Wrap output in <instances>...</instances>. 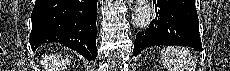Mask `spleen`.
<instances>
[{
  "label": "spleen",
  "instance_id": "3e777b00",
  "mask_svg": "<svg viewBox=\"0 0 230 71\" xmlns=\"http://www.w3.org/2000/svg\"><path fill=\"white\" fill-rule=\"evenodd\" d=\"M162 60L168 71H195V61L186 49L168 46L162 50Z\"/></svg>",
  "mask_w": 230,
  "mask_h": 71
}]
</instances>
